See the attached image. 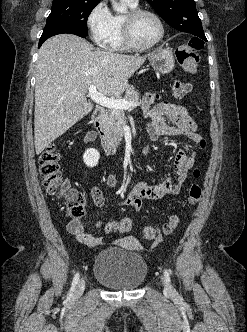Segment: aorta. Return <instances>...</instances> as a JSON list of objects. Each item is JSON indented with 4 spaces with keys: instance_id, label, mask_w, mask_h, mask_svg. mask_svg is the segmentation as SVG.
I'll return each instance as SVG.
<instances>
[{
    "instance_id": "aorta-1",
    "label": "aorta",
    "mask_w": 247,
    "mask_h": 332,
    "mask_svg": "<svg viewBox=\"0 0 247 332\" xmlns=\"http://www.w3.org/2000/svg\"><path fill=\"white\" fill-rule=\"evenodd\" d=\"M112 7L115 11L119 13H126L127 6L124 3H119L117 0H111Z\"/></svg>"
}]
</instances>
